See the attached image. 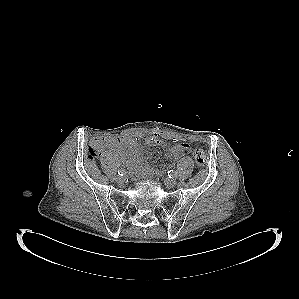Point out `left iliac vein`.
<instances>
[{"mask_svg": "<svg viewBox=\"0 0 299 299\" xmlns=\"http://www.w3.org/2000/svg\"><path fill=\"white\" fill-rule=\"evenodd\" d=\"M176 184H177V181H176V179H174V178H169V179H166V180H165V185H166L167 187H169V188H173V187H175Z\"/></svg>", "mask_w": 299, "mask_h": 299, "instance_id": "4c4485c4", "label": "left iliac vein"}]
</instances>
